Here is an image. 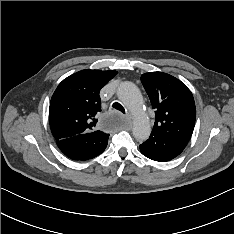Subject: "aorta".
Returning a JSON list of instances; mask_svg holds the SVG:
<instances>
[{
	"label": "aorta",
	"mask_w": 234,
	"mask_h": 234,
	"mask_svg": "<svg viewBox=\"0 0 234 234\" xmlns=\"http://www.w3.org/2000/svg\"><path fill=\"white\" fill-rule=\"evenodd\" d=\"M117 96L134 116L132 129L134 137L140 142L147 140L151 133V126L144 111L143 98L139 89L134 83L125 81L119 85Z\"/></svg>",
	"instance_id": "762f6f07"
}]
</instances>
